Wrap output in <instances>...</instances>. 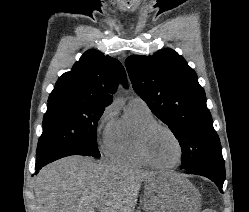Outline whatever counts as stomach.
Segmentation results:
<instances>
[{"label":"stomach","instance_id":"obj_1","mask_svg":"<svg viewBox=\"0 0 249 212\" xmlns=\"http://www.w3.org/2000/svg\"><path fill=\"white\" fill-rule=\"evenodd\" d=\"M146 212H200L201 194L175 170H156L144 180Z\"/></svg>","mask_w":249,"mask_h":212}]
</instances>
